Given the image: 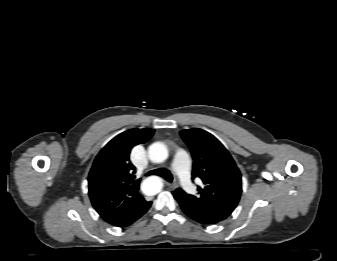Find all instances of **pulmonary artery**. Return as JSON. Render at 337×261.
<instances>
[{
	"label": "pulmonary artery",
	"instance_id": "pulmonary-artery-1",
	"mask_svg": "<svg viewBox=\"0 0 337 261\" xmlns=\"http://www.w3.org/2000/svg\"><path fill=\"white\" fill-rule=\"evenodd\" d=\"M172 169L177 174L182 187L187 192H192L194 186L191 182L190 158L185 151L179 150L176 152L172 162Z\"/></svg>",
	"mask_w": 337,
	"mask_h": 261
}]
</instances>
